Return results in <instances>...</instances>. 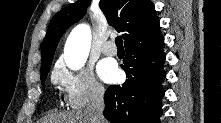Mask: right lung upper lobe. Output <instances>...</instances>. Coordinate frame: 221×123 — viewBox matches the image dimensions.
I'll list each match as a JSON object with an SVG mask.
<instances>
[{"label":"right lung upper lobe","mask_w":221,"mask_h":123,"mask_svg":"<svg viewBox=\"0 0 221 123\" xmlns=\"http://www.w3.org/2000/svg\"><path fill=\"white\" fill-rule=\"evenodd\" d=\"M89 4L90 0H79L53 17L42 44L41 70L52 62L62 34L84 16ZM99 6L108 24L122 33L125 46L160 31L154 4L150 0H101Z\"/></svg>","instance_id":"cb5924a9"}]
</instances>
